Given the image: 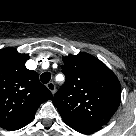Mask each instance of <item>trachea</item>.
<instances>
[{
	"mask_svg": "<svg viewBox=\"0 0 136 136\" xmlns=\"http://www.w3.org/2000/svg\"><path fill=\"white\" fill-rule=\"evenodd\" d=\"M51 79V74L49 72H44L40 76V80L42 83L47 84Z\"/></svg>",
	"mask_w": 136,
	"mask_h": 136,
	"instance_id": "3493384b",
	"label": "trachea"
}]
</instances>
